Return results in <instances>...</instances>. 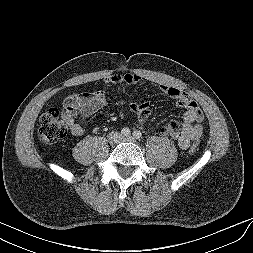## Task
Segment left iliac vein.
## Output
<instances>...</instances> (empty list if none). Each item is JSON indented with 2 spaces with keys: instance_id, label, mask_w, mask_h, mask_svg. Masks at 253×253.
I'll use <instances>...</instances> for the list:
<instances>
[{
  "instance_id": "4c4485c4",
  "label": "left iliac vein",
  "mask_w": 253,
  "mask_h": 253,
  "mask_svg": "<svg viewBox=\"0 0 253 253\" xmlns=\"http://www.w3.org/2000/svg\"><path fill=\"white\" fill-rule=\"evenodd\" d=\"M122 141H128V142H136L135 138L132 136H126L121 138Z\"/></svg>"
}]
</instances>
